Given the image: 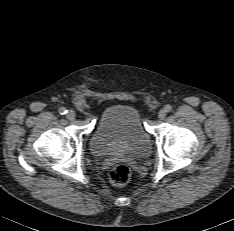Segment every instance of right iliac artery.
I'll list each match as a JSON object with an SVG mask.
<instances>
[{"instance_id": "82829eb1", "label": "right iliac artery", "mask_w": 234, "mask_h": 231, "mask_svg": "<svg viewBox=\"0 0 234 231\" xmlns=\"http://www.w3.org/2000/svg\"><path fill=\"white\" fill-rule=\"evenodd\" d=\"M59 113H60L61 115H65V114L67 113L66 108H64V107L59 108Z\"/></svg>"}]
</instances>
